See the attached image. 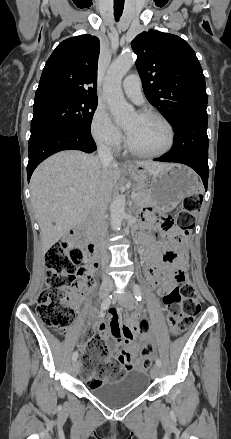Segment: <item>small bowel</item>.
<instances>
[{"instance_id":"small-bowel-1","label":"small bowel","mask_w":231,"mask_h":439,"mask_svg":"<svg viewBox=\"0 0 231 439\" xmlns=\"http://www.w3.org/2000/svg\"><path fill=\"white\" fill-rule=\"evenodd\" d=\"M150 215V214H148ZM138 236L146 241V248L144 250V257L148 268V279L150 286L156 288L160 294L169 290L171 284L163 276L170 275L175 270L176 266L173 264L169 255L173 256L170 250V244L164 238L149 240L144 234L138 233ZM168 236L178 241L180 236L178 229L172 228L168 232ZM185 257L184 245L179 254V257ZM81 287L75 292L73 304L78 306L82 295L79 293ZM109 325L106 328L104 322H96L102 332V336L107 341L110 347V358L119 360L126 369H133L138 366L135 357L138 353L145 351L148 343V338L145 336H138L136 333V326L141 312L135 313L127 322L122 325L119 321V314L115 309H111L108 313ZM81 350H85V346L81 344ZM110 361L109 359L106 362Z\"/></svg>"}]
</instances>
